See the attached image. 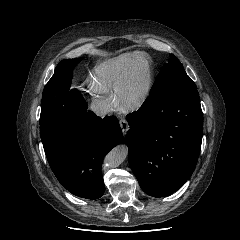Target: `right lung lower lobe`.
Returning a JSON list of instances; mask_svg holds the SVG:
<instances>
[{"instance_id": "98d812e1", "label": "right lung lower lobe", "mask_w": 240, "mask_h": 240, "mask_svg": "<svg viewBox=\"0 0 240 240\" xmlns=\"http://www.w3.org/2000/svg\"><path fill=\"white\" fill-rule=\"evenodd\" d=\"M40 135L49 165L70 193L87 199L100 198L105 190L101 164L105 155L122 140L115 116L103 119L87 112L80 93L68 108L58 109L40 124Z\"/></svg>"}]
</instances>
